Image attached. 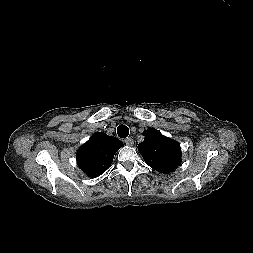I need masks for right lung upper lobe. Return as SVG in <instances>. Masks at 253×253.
I'll list each match as a JSON object with an SVG mask.
<instances>
[{
	"label": "right lung upper lobe",
	"mask_w": 253,
	"mask_h": 253,
	"mask_svg": "<svg viewBox=\"0 0 253 253\" xmlns=\"http://www.w3.org/2000/svg\"><path fill=\"white\" fill-rule=\"evenodd\" d=\"M123 143L106 133H95L77 154V164L89 177L95 178L103 174L111 165L117 150Z\"/></svg>",
	"instance_id": "right-lung-upper-lobe-1"
}]
</instances>
